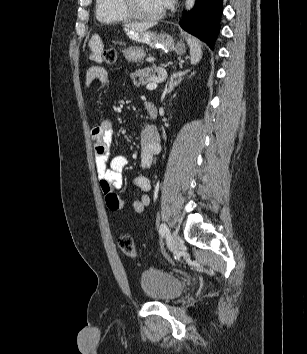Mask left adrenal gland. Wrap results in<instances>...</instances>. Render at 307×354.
I'll list each match as a JSON object with an SVG mask.
<instances>
[{
	"mask_svg": "<svg viewBox=\"0 0 307 354\" xmlns=\"http://www.w3.org/2000/svg\"><path fill=\"white\" fill-rule=\"evenodd\" d=\"M190 72V70H185V71H179L176 73H173L170 76V79L168 81V88L166 89L167 93H171V91L174 90V88L181 83V81L183 80V77Z\"/></svg>",
	"mask_w": 307,
	"mask_h": 354,
	"instance_id": "obj_1",
	"label": "left adrenal gland"
}]
</instances>
